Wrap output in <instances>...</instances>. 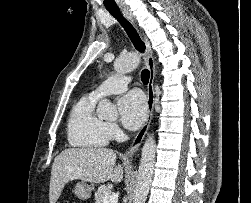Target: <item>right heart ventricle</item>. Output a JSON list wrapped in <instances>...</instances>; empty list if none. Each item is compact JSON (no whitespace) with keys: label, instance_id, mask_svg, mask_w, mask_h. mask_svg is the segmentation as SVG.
Here are the masks:
<instances>
[{"label":"right heart ventricle","instance_id":"1","mask_svg":"<svg viewBox=\"0 0 251 203\" xmlns=\"http://www.w3.org/2000/svg\"><path fill=\"white\" fill-rule=\"evenodd\" d=\"M97 100L88 94L73 107L68 120V140L72 146L100 148L108 143L106 123L94 112Z\"/></svg>","mask_w":251,"mask_h":203}]
</instances>
